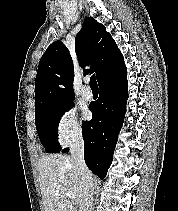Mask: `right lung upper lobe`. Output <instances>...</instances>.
Returning a JSON list of instances; mask_svg holds the SVG:
<instances>
[{
    "label": "right lung upper lobe",
    "instance_id": "1",
    "mask_svg": "<svg viewBox=\"0 0 178 211\" xmlns=\"http://www.w3.org/2000/svg\"><path fill=\"white\" fill-rule=\"evenodd\" d=\"M76 54L81 67L91 65L98 84L126 69L123 55L106 28L92 17L86 18L76 36ZM74 67L69 50L61 41L53 42L40 59L35 80V114L44 108L73 101Z\"/></svg>",
    "mask_w": 178,
    "mask_h": 211
}]
</instances>
